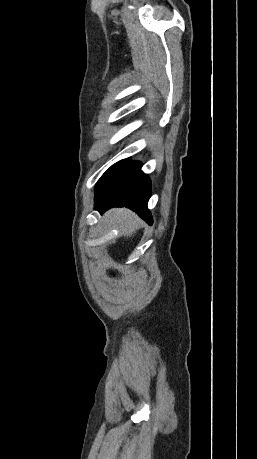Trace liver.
Wrapping results in <instances>:
<instances>
[{"mask_svg":"<svg viewBox=\"0 0 257 459\" xmlns=\"http://www.w3.org/2000/svg\"><path fill=\"white\" fill-rule=\"evenodd\" d=\"M107 220L116 221L121 226V234L131 237L139 228V219L130 211L124 209L110 210L105 214Z\"/></svg>","mask_w":257,"mask_h":459,"instance_id":"6515ba94","label":"liver"}]
</instances>
